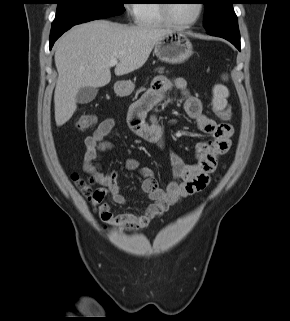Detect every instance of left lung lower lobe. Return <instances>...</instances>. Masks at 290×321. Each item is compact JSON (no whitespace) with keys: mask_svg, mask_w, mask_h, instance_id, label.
Instances as JSON below:
<instances>
[{"mask_svg":"<svg viewBox=\"0 0 290 321\" xmlns=\"http://www.w3.org/2000/svg\"><path fill=\"white\" fill-rule=\"evenodd\" d=\"M208 34L230 41L240 51V33L237 21H234L224 27L208 31Z\"/></svg>","mask_w":290,"mask_h":321,"instance_id":"obj_1","label":"left lung lower lobe"}]
</instances>
